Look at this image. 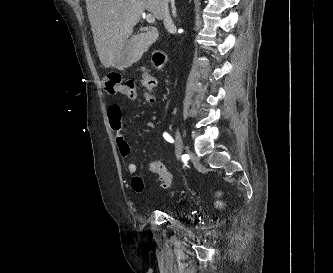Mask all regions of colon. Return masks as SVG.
I'll return each instance as SVG.
<instances>
[{
	"label": "colon",
	"instance_id": "obj_1",
	"mask_svg": "<svg viewBox=\"0 0 333 273\" xmlns=\"http://www.w3.org/2000/svg\"><path fill=\"white\" fill-rule=\"evenodd\" d=\"M152 66L160 70L166 64V55L162 51H154L151 54ZM102 86L111 95L123 94L130 98L136 96V86L133 80L124 79L118 73H111L102 81ZM150 172L156 176L160 186L164 189L172 185L173 176L170 170L161 160H154L149 164Z\"/></svg>",
	"mask_w": 333,
	"mask_h": 273
}]
</instances>
